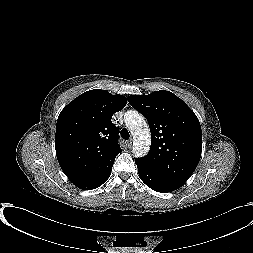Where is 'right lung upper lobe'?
I'll list each match as a JSON object with an SVG mask.
<instances>
[{
	"label": "right lung upper lobe",
	"instance_id": "cb5924a9",
	"mask_svg": "<svg viewBox=\"0 0 253 253\" xmlns=\"http://www.w3.org/2000/svg\"><path fill=\"white\" fill-rule=\"evenodd\" d=\"M127 99L106 90H90L76 97L61 111L56 125L58 162L77 187L108 173L122 151L119 130L111 119Z\"/></svg>",
	"mask_w": 253,
	"mask_h": 253
}]
</instances>
